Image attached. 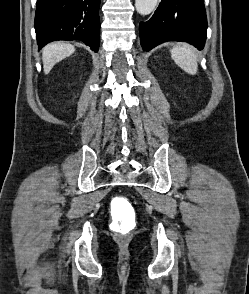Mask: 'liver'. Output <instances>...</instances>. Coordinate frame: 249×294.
Returning a JSON list of instances; mask_svg holds the SVG:
<instances>
[{
  "label": "liver",
  "instance_id": "obj_1",
  "mask_svg": "<svg viewBox=\"0 0 249 294\" xmlns=\"http://www.w3.org/2000/svg\"><path fill=\"white\" fill-rule=\"evenodd\" d=\"M74 51V46L67 43L54 42L46 45L42 51L44 73L48 74L57 62L70 56Z\"/></svg>",
  "mask_w": 249,
  "mask_h": 294
}]
</instances>
